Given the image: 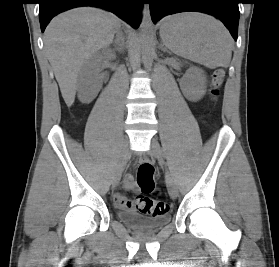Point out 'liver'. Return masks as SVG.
<instances>
[{
    "label": "liver",
    "mask_w": 279,
    "mask_h": 267,
    "mask_svg": "<svg viewBox=\"0 0 279 267\" xmlns=\"http://www.w3.org/2000/svg\"><path fill=\"white\" fill-rule=\"evenodd\" d=\"M120 26L117 16L93 7L64 12L47 26L45 51L68 107L74 103L83 65L95 52L112 42Z\"/></svg>",
    "instance_id": "liver-1"
}]
</instances>
